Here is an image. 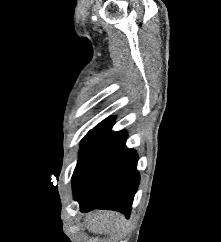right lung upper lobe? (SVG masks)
<instances>
[{"label":"right lung upper lobe","instance_id":"obj_1","mask_svg":"<svg viewBox=\"0 0 221 242\" xmlns=\"http://www.w3.org/2000/svg\"><path fill=\"white\" fill-rule=\"evenodd\" d=\"M112 122H113V117H110V118H108V119H105V120L102 121L101 123H99V124L97 125V127L102 128V127H104V126H106V125H108V124H110V123H112Z\"/></svg>","mask_w":221,"mask_h":242}]
</instances>
